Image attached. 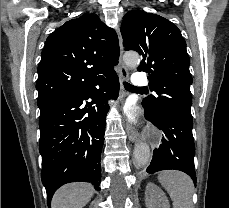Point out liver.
I'll return each mask as SVG.
<instances>
[{"label": "liver", "instance_id": "1", "mask_svg": "<svg viewBox=\"0 0 229 208\" xmlns=\"http://www.w3.org/2000/svg\"><path fill=\"white\" fill-rule=\"evenodd\" d=\"M94 194L91 184H66L55 192L51 208H84Z\"/></svg>", "mask_w": 229, "mask_h": 208}]
</instances>
